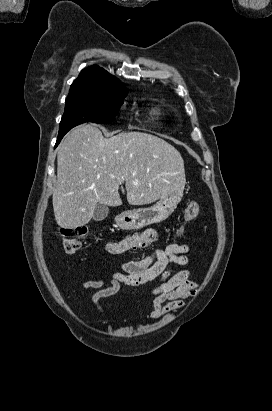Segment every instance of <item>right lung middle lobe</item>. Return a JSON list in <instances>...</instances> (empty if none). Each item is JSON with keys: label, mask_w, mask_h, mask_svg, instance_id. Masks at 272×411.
<instances>
[{"label": "right lung middle lobe", "mask_w": 272, "mask_h": 411, "mask_svg": "<svg viewBox=\"0 0 272 411\" xmlns=\"http://www.w3.org/2000/svg\"><path fill=\"white\" fill-rule=\"evenodd\" d=\"M128 91L119 88H103L94 91L69 93L65 101L58 137L71 128L85 123H108L117 115Z\"/></svg>", "instance_id": "obj_1"}]
</instances>
